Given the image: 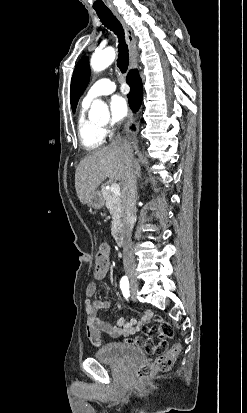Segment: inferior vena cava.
<instances>
[{"mask_svg": "<svg viewBox=\"0 0 247 413\" xmlns=\"http://www.w3.org/2000/svg\"><path fill=\"white\" fill-rule=\"evenodd\" d=\"M112 142H121L126 150L125 168L122 174V207H123V265L124 271L130 279V283H136L135 265L132 251V229L134 227V219L136 215V174L140 170V166L134 158V146L136 144L134 138H123L121 134H117Z\"/></svg>", "mask_w": 247, "mask_h": 413, "instance_id": "obj_1", "label": "inferior vena cava"}]
</instances>
